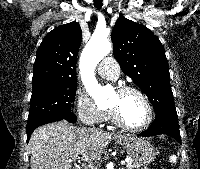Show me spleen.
I'll use <instances>...</instances> for the list:
<instances>
[{"mask_svg": "<svg viewBox=\"0 0 200 169\" xmlns=\"http://www.w3.org/2000/svg\"><path fill=\"white\" fill-rule=\"evenodd\" d=\"M171 163H176L177 162V157L175 155H171L169 158Z\"/></svg>", "mask_w": 200, "mask_h": 169, "instance_id": "spleen-1", "label": "spleen"}]
</instances>
